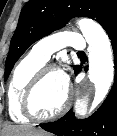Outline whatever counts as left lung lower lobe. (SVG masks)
Here are the masks:
<instances>
[{"label": "left lung lower lobe", "instance_id": "0a47b994", "mask_svg": "<svg viewBox=\"0 0 117 136\" xmlns=\"http://www.w3.org/2000/svg\"><path fill=\"white\" fill-rule=\"evenodd\" d=\"M105 30L111 39L115 80L109 95L89 118L76 120L72 111L55 122L40 124L44 130L57 136H117V15L109 22ZM81 71L79 67L75 74Z\"/></svg>", "mask_w": 117, "mask_h": 136}]
</instances>
